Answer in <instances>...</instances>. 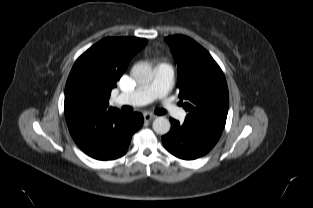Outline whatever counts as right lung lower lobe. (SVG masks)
<instances>
[{"label":"right lung lower lobe","mask_w":313,"mask_h":208,"mask_svg":"<svg viewBox=\"0 0 313 208\" xmlns=\"http://www.w3.org/2000/svg\"><path fill=\"white\" fill-rule=\"evenodd\" d=\"M70 134L88 156L102 161L123 156L132 135L141 128L139 113L126 114L118 109L86 110L65 113Z\"/></svg>","instance_id":"1"}]
</instances>
